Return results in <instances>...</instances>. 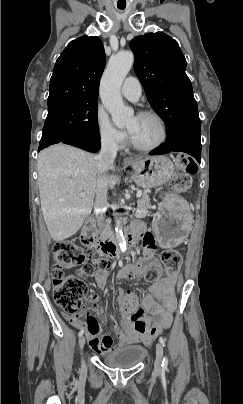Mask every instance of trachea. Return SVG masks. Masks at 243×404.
<instances>
[{
    "label": "trachea",
    "instance_id": "obj_1",
    "mask_svg": "<svg viewBox=\"0 0 243 404\" xmlns=\"http://www.w3.org/2000/svg\"><path fill=\"white\" fill-rule=\"evenodd\" d=\"M124 8H125V7H119V6H118V9H120V10H124Z\"/></svg>",
    "mask_w": 243,
    "mask_h": 404
}]
</instances>
